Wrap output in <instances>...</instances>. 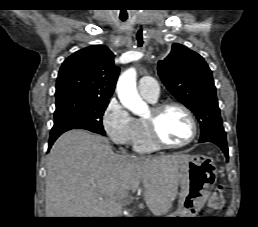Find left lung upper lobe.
<instances>
[{
    "mask_svg": "<svg viewBox=\"0 0 258 227\" xmlns=\"http://www.w3.org/2000/svg\"><path fill=\"white\" fill-rule=\"evenodd\" d=\"M158 74L169 92L198 118L200 142H226L216 87L205 60L187 47L173 44L168 57L158 62Z\"/></svg>",
    "mask_w": 258,
    "mask_h": 227,
    "instance_id": "obj_1",
    "label": "left lung upper lobe"
}]
</instances>
